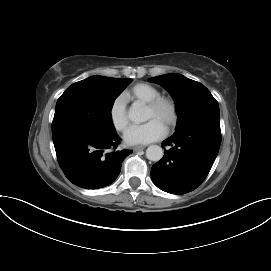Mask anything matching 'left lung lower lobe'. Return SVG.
Instances as JSON below:
<instances>
[{"instance_id":"0a47b994","label":"left lung lower lobe","mask_w":271,"mask_h":271,"mask_svg":"<svg viewBox=\"0 0 271 271\" xmlns=\"http://www.w3.org/2000/svg\"><path fill=\"white\" fill-rule=\"evenodd\" d=\"M221 143L220 122H199L175 131L162 143L163 158L151 179L161 190L181 195L196 189L208 175Z\"/></svg>"}]
</instances>
